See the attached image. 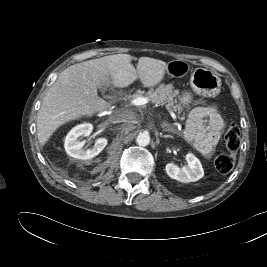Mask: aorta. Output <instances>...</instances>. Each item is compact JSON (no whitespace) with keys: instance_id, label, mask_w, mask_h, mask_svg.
<instances>
[{"instance_id":"1","label":"aorta","mask_w":267,"mask_h":267,"mask_svg":"<svg viewBox=\"0 0 267 267\" xmlns=\"http://www.w3.org/2000/svg\"><path fill=\"white\" fill-rule=\"evenodd\" d=\"M136 142L139 146H147L150 143L148 132L140 133L136 138Z\"/></svg>"}]
</instances>
